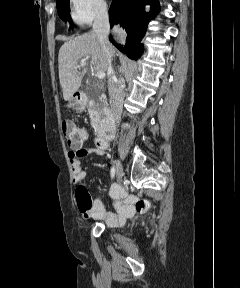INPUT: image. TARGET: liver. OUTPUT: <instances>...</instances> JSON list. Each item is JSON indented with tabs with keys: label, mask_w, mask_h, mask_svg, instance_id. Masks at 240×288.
Segmentation results:
<instances>
[{
	"label": "liver",
	"mask_w": 240,
	"mask_h": 288,
	"mask_svg": "<svg viewBox=\"0 0 240 288\" xmlns=\"http://www.w3.org/2000/svg\"><path fill=\"white\" fill-rule=\"evenodd\" d=\"M110 53L113 58L115 54L113 47ZM81 60L90 62L93 70L97 72L107 71V57L94 32L85 33L65 42L59 50V80L65 101L71 100L79 90L83 76L87 72V68L77 70Z\"/></svg>",
	"instance_id": "liver-1"
}]
</instances>
